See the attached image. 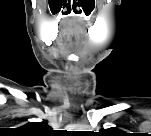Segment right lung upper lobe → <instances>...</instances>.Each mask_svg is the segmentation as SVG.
<instances>
[{
  "label": "right lung upper lobe",
  "mask_w": 151,
  "mask_h": 136,
  "mask_svg": "<svg viewBox=\"0 0 151 136\" xmlns=\"http://www.w3.org/2000/svg\"><path fill=\"white\" fill-rule=\"evenodd\" d=\"M49 125L45 120L42 122H30L26 125L20 127L18 132L26 133V134H33V135H45L49 132Z\"/></svg>",
  "instance_id": "1"
}]
</instances>
